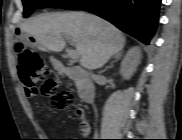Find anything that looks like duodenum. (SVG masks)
<instances>
[{
  "instance_id": "1",
  "label": "duodenum",
  "mask_w": 182,
  "mask_h": 140,
  "mask_svg": "<svg viewBox=\"0 0 182 140\" xmlns=\"http://www.w3.org/2000/svg\"><path fill=\"white\" fill-rule=\"evenodd\" d=\"M56 69L59 71H67L70 77L79 83V97L81 101L89 103L93 100L94 87L88 75L84 71L76 69L74 67H66L61 62L56 63Z\"/></svg>"
}]
</instances>
